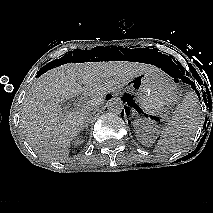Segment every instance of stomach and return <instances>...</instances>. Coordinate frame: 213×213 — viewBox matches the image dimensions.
Segmentation results:
<instances>
[{
    "mask_svg": "<svg viewBox=\"0 0 213 213\" xmlns=\"http://www.w3.org/2000/svg\"><path fill=\"white\" fill-rule=\"evenodd\" d=\"M141 109L148 115H160L179 100L175 83L157 73H143L133 79Z\"/></svg>",
    "mask_w": 213,
    "mask_h": 213,
    "instance_id": "0dacf381",
    "label": "stomach"
}]
</instances>
